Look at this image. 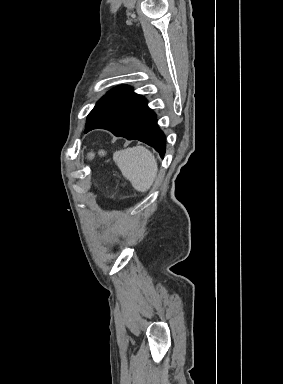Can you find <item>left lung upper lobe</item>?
Wrapping results in <instances>:
<instances>
[{
  "label": "left lung upper lobe",
  "mask_w": 283,
  "mask_h": 384,
  "mask_svg": "<svg viewBox=\"0 0 283 384\" xmlns=\"http://www.w3.org/2000/svg\"><path fill=\"white\" fill-rule=\"evenodd\" d=\"M131 90H132L131 87L122 85L108 92L104 97H102L97 102L94 109L90 112V114L87 117L86 125H88L89 123L97 119L103 113H105L114 105H116L118 102H120L128 93L131 92Z\"/></svg>",
  "instance_id": "left-lung-upper-lobe-1"
}]
</instances>
